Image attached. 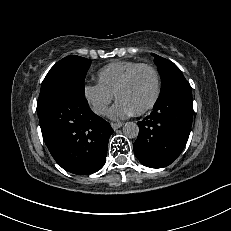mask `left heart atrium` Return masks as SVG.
<instances>
[{
  "mask_svg": "<svg viewBox=\"0 0 231 231\" xmlns=\"http://www.w3.org/2000/svg\"><path fill=\"white\" fill-rule=\"evenodd\" d=\"M133 114L134 112L120 101L110 111V116L114 119L125 118Z\"/></svg>",
  "mask_w": 231,
  "mask_h": 231,
  "instance_id": "1",
  "label": "left heart atrium"
}]
</instances>
